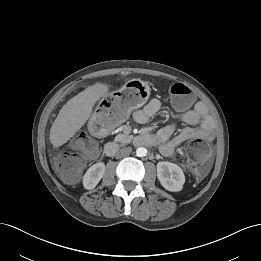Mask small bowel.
<instances>
[{
  "mask_svg": "<svg viewBox=\"0 0 261 261\" xmlns=\"http://www.w3.org/2000/svg\"><path fill=\"white\" fill-rule=\"evenodd\" d=\"M161 106L159 99H152L143 109L136 111L133 118L139 124H146L160 111ZM203 111V104L197 103L193 109L184 112L181 118L189 126L176 135H174V125H167L155 134V142L159 145L160 153L163 156L174 155L177 148L187 140L195 138L213 139V120L204 115Z\"/></svg>",
  "mask_w": 261,
  "mask_h": 261,
  "instance_id": "1",
  "label": "small bowel"
}]
</instances>
